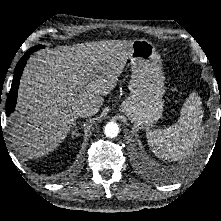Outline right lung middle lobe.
Listing matches in <instances>:
<instances>
[{"label":"right lung middle lobe","mask_w":221,"mask_h":221,"mask_svg":"<svg viewBox=\"0 0 221 221\" xmlns=\"http://www.w3.org/2000/svg\"><path fill=\"white\" fill-rule=\"evenodd\" d=\"M40 46V48H43L44 46H42V45H39Z\"/></svg>","instance_id":"obj_1"}]
</instances>
